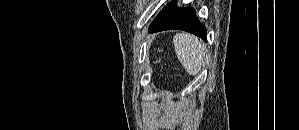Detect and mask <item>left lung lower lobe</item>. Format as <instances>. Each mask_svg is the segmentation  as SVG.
Here are the masks:
<instances>
[{"label":"left lung lower lobe","instance_id":"1","mask_svg":"<svg viewBox=\"0 0 299 130\" xmlns=\"http://www.w3.org/2000/svg\"><path fill=\"white\" fill-rule=\"evenodd\" d=\"M175 6L176 1L170 2L152 22L149 32L184 30L207 41V30L198 20L195 10Z\"/></svg>","mask_w":299,"mask_h":130}]
</instances>
